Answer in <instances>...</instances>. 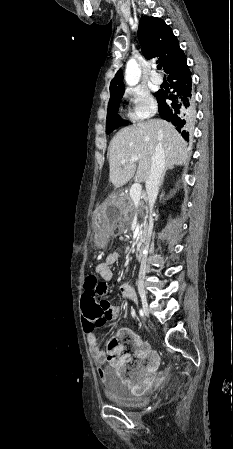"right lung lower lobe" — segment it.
Returning a JSON list of instances; mask_svg holds the SVG:
<instances>
[{"label": "right lung lower lobe", "instance_id": "98d812e1", "mask_svg": "<svg viewBox=\"0 0 233 449\" xmlns=\"http://www.w3.org/2000/svg\"><path fill=\"white\" fill-rule=\"evenodd\" d=\"M168 81L173 91L169 95L167 92H158L159 113L162 118L172 122L182 137L189 141L194 105L191 73L186 61L168 73ZM166 99L170 102H166Z\"/></svg>", "mask_w": 233, "mask_h": 449}]
</instances>
